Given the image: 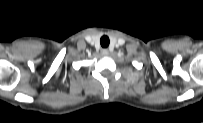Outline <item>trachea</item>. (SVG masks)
<instances>
[{
	"mask_svg": "<svg viewBox=\"0 0 203 123\" xmlns=\"http://www.w3.org/2000/svg\"><path fill=\"white\" fill-rule=\"evenodd\" d=\"M110 41H109V38L107 36H102L101 39H100V44L103 48H106L108 47Z\"/></svg>",
	"mask_w": 203,
	"mask_h": 123,
	"instance_id": "3493384b",
	"label": "trachea"
}]
</instances>
